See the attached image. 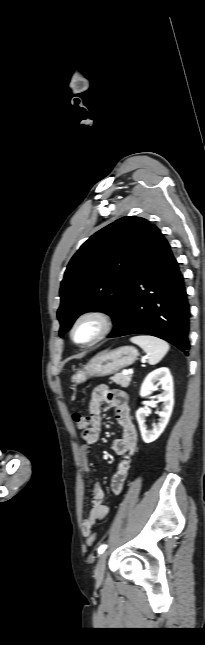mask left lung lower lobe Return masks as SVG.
Here are the masks:
<instances>
[{
	"mask_svg": "<svg viewBox=\"0 0 205 645\" xmlns=\"http://www.w3.org/2000/svg\"><path fill=\"white\" fill-rule=\"evenodd\" d=\"M121 310L118 326L109 337L148 334L188 355L190 307L184 279L167 240L153 224L130 268Z\"/></svg>",
	"mask_w": 205,
	"mask_h": 645,
	"instance_id": "left-lung-lower-lobe-1",
	"label": "left lung lower lobe"
}]
</instances>
